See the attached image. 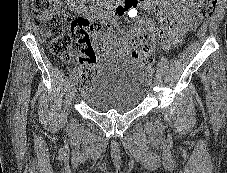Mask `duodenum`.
I'll use <instances>...</instances> for the list:
<instances>
[{"label":"duodenum","mask_w":227,"mask_h":173,"mask_svg":"<svg viewBox=\"0 0 227 173\" xmlns=\"http://www.w3.org/2000/svg\"><path fill=\"white\" fill-rule=\"evenodd\" d=\"M131 0H108L102 2V12L106 17L120 15Z\"/></svg>","instance_id":"duodenum-1"}]
</instances>
